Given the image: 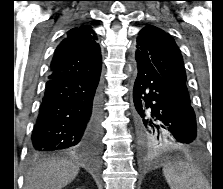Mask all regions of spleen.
Returning a JSON list of instances; mask_svg holds the SVG:
<instances>
[{"label":"spleen","mask_w":223,"mask_h":189,"mask_svg":"<svg viewBox=\"0 0 223 189\" xmlns=\"http://www.w3.org/2000/svg\"><path fill=\"white\" fill-rule=\"evenodd\" d=\"M163 174L171 189H207V181L200 170L187 162L167 164Z\"/></svg>","instance_id":"3e777b00"}]
</instances>
